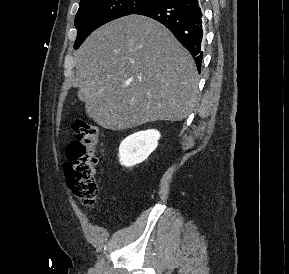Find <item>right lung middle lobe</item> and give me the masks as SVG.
<instances>
[{
	"label": "right lung middle lobe",
	"mask_w": 289,
	"mask_h": 274,
	"mask_svg": "<svg viewBox=\"0 0 289 274\" xmlns=\"http://www.w3.org/2000/svg\"><path fill=\"white\" fill-rule=\"evenodd\" d=\"M157 0H81L75 17L78 49L86 37L98 27L114 19L134 14Z\"/></svg>",
	"instance_id": "1"
}]
</instances>
